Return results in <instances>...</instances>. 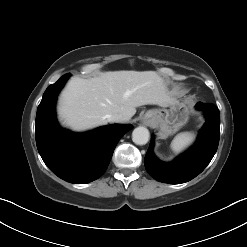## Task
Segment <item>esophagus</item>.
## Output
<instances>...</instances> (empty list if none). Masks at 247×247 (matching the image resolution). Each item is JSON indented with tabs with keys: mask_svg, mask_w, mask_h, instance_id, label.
I'll list each match as a JSON object with an SVG mask.
<instances>
[{
	"mask_svg": "<svg viewBox=\"0 0 247 247\" xmlns=\"http://www.w3.org/2000/svg\"><path fill=\"white\" fill-rule=\"evenodd\" d=\"M150 121H151L150 117L146 115L144 118L141 119V124L148 126Z\"/></svg>",
	"mask_w": 247,
	"mask_h": 247,
	"instance_id": "1",
	"label": "esophagus"
}]
</instances>
